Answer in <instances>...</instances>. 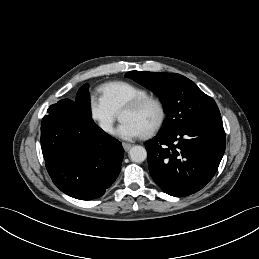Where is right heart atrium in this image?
Returning <instances> with one entry per match:
<instances>
[{
  "label": "right heart atrium",
  "mask_w": 259,
  "mask_h": 259,
  "mask_svg": "<svg viewBox=\"0 0 259 259\" xmlns=\"http://www.w3.org/2000/svg\"><path fill=\"white\" fill-rule=\"evenodd\" d=\"M89 112L102 133L110 134L112 132L117 115L102 96L90 95Z\"/></svg>",
  "instance_id": "obj_1"
}]
</instances>
